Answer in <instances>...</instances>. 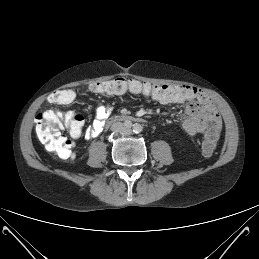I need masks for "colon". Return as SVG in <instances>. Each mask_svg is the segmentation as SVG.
<instances>
[{
  "mask_svg": "<svg viewBox=\"0 0 259 259\" xmlns=\"http://www.w3.org/2000/svg\"><path fill=\"white\" fill-rule=\"evenodd\" d=\"M90 90L99 94L121 95L132 93L151 98H157L163 104L179 103L181 101H195L200 91L195 86L168 85L143 82L127 77H116L110 80L93 83ZM75 98L71 90H57L50 94L49 102L54 105H69ZM83 117L75 112L46 111L40 113L35 119V129L39 140L46 149L62 159L71 158L74 146L73 139L82 133ZM65 128L71 138L61 134L60 129ZM219 137V130L211 125L206 131L202 150L204 154L211 155Z\"/></svg>",
  "mask_w": 259,
  "mask_h": 259,
  "instance_id": "colon-1",
  "label": "colon"
}]
</instances>
